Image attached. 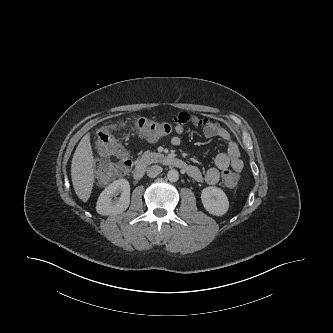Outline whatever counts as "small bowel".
Listing matches in <instances>:
<instances>
[{"mask_svg": "<svg viewBox=\"0 0 333 333\" xmlns=\"http://www.w3.org/2000/svg\"><path fill=\"white\" fill-rule=\"evenodd\" d=\"M173 120L175 122V132L177 133L176 136L171 138V143L174 146L180 145V135L184 134L186 124L201 127L206 138H219L226 143V151L216 155L215 166L209 168L205 173H202L195 166H190L188 174L191 178L214 185L225 171L232 169L234 172L240 173L243 170L244 163L240 158L238 146L227 129L207 118H200L188 113H179L174 116Z\"/></svg>", "mask_w": 333, "mask_h": 333, "instance_id": "1", "label": "small bowel"}]
</instances>
